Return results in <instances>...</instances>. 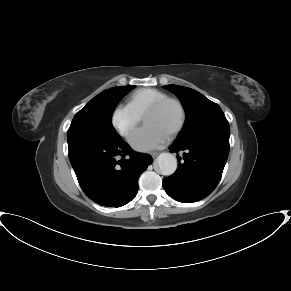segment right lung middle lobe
<instances>
[{"label": "right lung middle lobe", "mask_w": 291, "mask_h": 291, "mask_svg": "<svg viewBox=\"0 0 291 291\" xmlns=\"http://www.w3.org/2000/svg\"><path fill=\"white\" fill-rule=\"evenodd\" d=\"M134 87L111 88L91 99L74 116L67 137H91L105 141L119 139L112 126V114L118 102Z\"/></svg>", "instance_id": "dd1d6c3e"}]
</instances>
